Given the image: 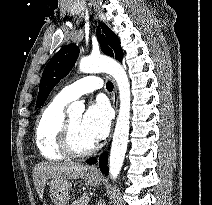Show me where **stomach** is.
<instances>
[{
  "label": "stomach",
  "mask_w": 212,
  "mask_h": 205,
  "mask_svg": "<svg viewBox=\"0 0 212 205\" xmlns=\"http://www.w3.org/2000/svg\"><path fill=\"white\" fill-rule=\"evenodd\" d=\"M84 182L87 186L96 187L101 184L102 178L97 175L86 174ZM48 185L50 187L49 195L54 205H67L70 200L69 191L72 186L70 181L68 179H51Z\"/></svg>",
  "instance_id": "0dacf381"
}]
</instances>
